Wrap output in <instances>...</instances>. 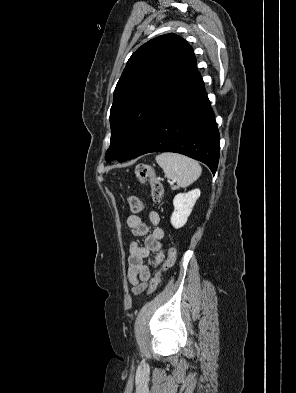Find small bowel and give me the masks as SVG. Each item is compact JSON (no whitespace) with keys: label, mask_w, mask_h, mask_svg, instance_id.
I'll return each instance as SVG.
<instances>
[{"label":"small bowel","mask_w":296,"mask_h":393,"mask_svg":"<svg viewBox=\"0 0 296 393\" xmlns=\"http://www.w3.org/2000/svg\"><path fill=\"white\" fill-rule=\"evenodd\" d=\"M148 218L154 226L152 232H149L148 226L143 223L140 216L131 214L127 217V225L132 233L135 236L144 237L143 244L133 241L129 247L127 275L134 294H139L146 288L151 277V270L157 268L164 258L162 240L165 234L159 225V213L152 210Z\"/></svg>","instance_id":"small-bowel-1"}]
</instances>
